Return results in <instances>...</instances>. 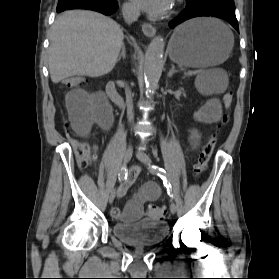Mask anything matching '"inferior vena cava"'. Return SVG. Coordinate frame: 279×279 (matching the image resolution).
Segmentation results:
<instances>
[{
  "label": "inferior vena cava",
  "instance_id": "602c4592",
  "mask_svg": "<svg viewBox=\"0 0 279 279\" xmlns=\"http://www.w3.org/2000/svg\"><path fill=\"white\" fill-rule=\"evenodd\" d=\"M122 14H123L124 20L128 24H131V23L137 21L138 17L140 16V11L136 6L126 4V5H123V7H122ZM126 102H127L128 121L132 122L133 117H134L133 103H132L131 91L128 88L126 89Z\"/></svg>",
  "mask_w": 279,
  "mask_h": 279
}]
</instances>
